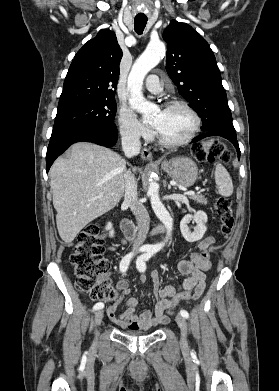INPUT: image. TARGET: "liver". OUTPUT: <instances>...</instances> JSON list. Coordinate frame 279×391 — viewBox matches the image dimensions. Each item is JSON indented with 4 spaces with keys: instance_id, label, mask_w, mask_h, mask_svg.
<instances>
[{
    "instance_id": "obj_1",
    "label": "liver",
    "mask_w": 279,
    "mask_h": 391,
    "mask_svg": "<svg viewBox=\"0 0 279 391\" xmlns=\"http://www.w3.org/2000/svg\"><path fill=\"white\" fill-rule=\"evenodd\" d=\"M126 161L93 143L73 144L69 158H58L50 169L53 205L61 239L71 243L91 221L121 200Z\"/></svg>"
}]
</instances>
